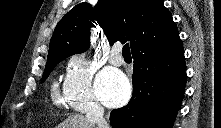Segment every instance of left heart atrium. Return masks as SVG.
Segmentation results:
<instances>
[{
    "label": "left heart atrium",
    "mask_w": 221,
    "mask_h": 128,
    "mask_svg": "<svg viewBox=\"0 0 221 128\" xmlns=\"http://www.w3.org/2000/svg\"><path fill=\"white\" fill-rule=\"evenodd\" d=\"M130 84L118 70H103L96 81V92L100 100L108 106L125 103L130 96Z\"/></svg>",
    "instance_id": "left-heart-atrium-1"
}]
</instances>
